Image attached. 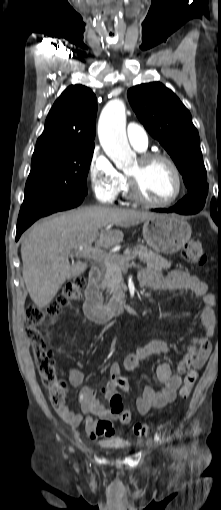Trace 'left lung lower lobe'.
Wrapping results in <instances>:
<instances>
[{"label":"left lung lower lobe","mask_w":221,"mask_h":510,"mask_svg":"<svg viewBox=\"0 0 221 510\" xmlns=\"http://www.w3.org/2000/svg\"><path fill=\"white\" fill-rule=\"evenodd\" d=\"M201 209L197 208L195 205H193L191 202L187 203H177L174 207L169 209H155L156 212H176L180 214H195L199 212ZM211 216L214 220V222L221 227V211L219 212H211Z\"/></svg>","instance_id":"obj_1"}]
</instances>
